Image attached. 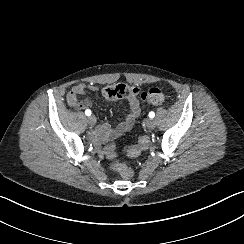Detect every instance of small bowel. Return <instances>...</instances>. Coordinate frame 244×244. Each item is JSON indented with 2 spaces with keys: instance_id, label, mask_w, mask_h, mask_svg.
<instances>
[{
  "instance_id": "small-bowel-1",
  "label": "small bowel",
  "mask_w": 244,
  "mask_h": 244,
  "mask_svg": "<svg viewBox=\"0 0 244 244\" xmlns=\"http://www.w3.org/2000/svg\"><path fill=\"white\" fill-rule=\"evenodd\" d=\"M88 90L91 91H98L96 87H89L84 83L77 84L73 86L69 92L67 93L66 96V102L69 107H72L76 110H84L87 109L91 106V101L86 99V100H80L79 96L86 93ZM128 103V113L124 117V119L116 126L111 128L108 125H102L98 129V139L100 141L109 139L113 140L120 136L121 134L129 131L136 118L140 115L141 113V104L139 100L135 96H129L127 99Z\"/></svg>"
}]
</instances>
